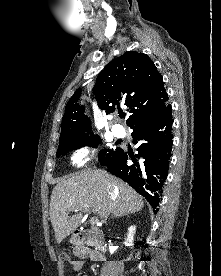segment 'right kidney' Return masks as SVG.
<instances>
[{"instance_id": "obj_1", "label": "right kidney", "mask_w": 221, "mask_h": 276, "mask_svg": "<svg viewBox=\"0 0 221 276\" xmlns=\"http://www.w3.org/2000/svg\"><path fill=\"white\" fill-rule=\"evenodd\" d=\"M135 232H136V226L131 225L128 228V233H127V238H126L125 245H127V246H132L133 245Z\"/></svg>"}]
</instances>
